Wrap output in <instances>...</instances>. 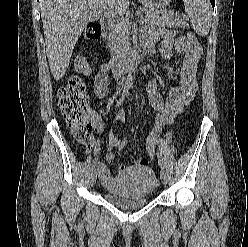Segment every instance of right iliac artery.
<instances>
[{
  "mask_svg": "<svg viewBox=\"0 0 248 247\" xmlns=\"http://www.w3.org/2000/svg\"><path fill=\"white\" fill-rule=\"evenodd\" d=\"M127 93H128V88L127 87H124L123 92H122L119 100L117 101L116 107H119L123 103V101H124L125 96L127 95ZM96 164H97V161H96V159H94L92 161V163H91L90 171H93L94 170V168L96 167Z\"/></svg>",
  "mask_w": 248,
  "mask_h": 247,
  "instance_id": "obj_1",
  "label": "right iliac artery"
}]
</instances>
